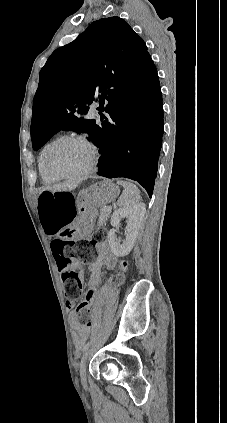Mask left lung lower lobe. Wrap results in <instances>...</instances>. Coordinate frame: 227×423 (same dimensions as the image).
Returning <instances> with one entry per match:
<instances>
[{
  "label": "left lung lower lobe",
  "instance_id": "obj_1",
  "mask_svg": "<svg viewBox=\"0 0 227 423\" xmlns=\"http://www.w3.org/2000/svg\"><path fill=\"white\" fill-rule=\"evenodd\" d=\"M93 140L100 148L98 175L138 181L152 196L163 136L162 95L155 70L135 107L108 112ZM102 119V118H101Z\"/></svg>",
  "mask_w": 227,
  "mask_h": 423
}]
</instances>
